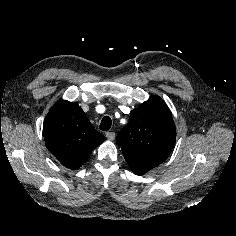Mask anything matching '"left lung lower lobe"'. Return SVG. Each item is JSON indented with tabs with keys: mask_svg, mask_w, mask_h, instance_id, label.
Here are the masks:
<instances>
[{
	"mask_svg": "<svg viewBox=\"0 0 236 236\" xmlns=\"http://www.w3.org/2000/svg\"><path fill=\"white\" fill-rule=\"evenodd\" d=\"M131 170L137 174V175H143L146 172H148L149 170H151L152 166L149 165H145V164H141V163H136V162H128Z\"/></svg>",
	"mask_w": 236,
	"mask_h": 236,
	"instance_id": "1",
	"label": "left lung lower lobe"
}]
</instances>
